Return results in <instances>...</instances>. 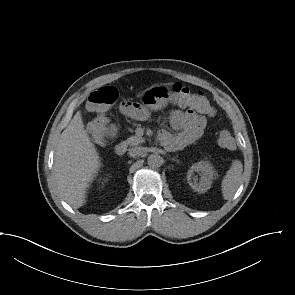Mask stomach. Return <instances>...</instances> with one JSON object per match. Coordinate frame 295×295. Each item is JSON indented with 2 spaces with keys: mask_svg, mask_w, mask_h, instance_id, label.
I'll list each match as a JSON object with an SVG mask.
<instances>
[{
  "mask_svg": "<svg viewBox=\"0 0 295 295\" xmlns=\"http://www.w3.org/2000/svg\"><path fill=\"white\" fill-rule=\"evenodd\" d=\"M170 94V90L166 87H153L150 91H145L141 94L140 103L145 108L158 110L168 103Z\"/></svg>",
  "mask_w": 295,
  "mask_h": 295,
  "instance_id": "stomach-1",
  "label": "stomach"
}]
</instances>
